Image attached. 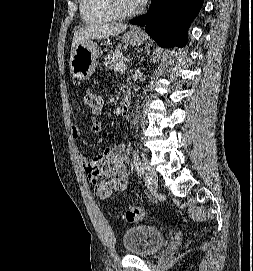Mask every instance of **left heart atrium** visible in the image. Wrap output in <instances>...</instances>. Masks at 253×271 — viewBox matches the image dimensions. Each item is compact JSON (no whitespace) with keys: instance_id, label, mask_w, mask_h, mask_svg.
Masks as SVG:
<instances>
[{"instance_id":"1","label":"left heart atrium","mask_w":253,"mask_h":271,"mask_svg":"<svg viewBox=\"0 0 253 271\" xmlns=\"http://www.w3.org/2000/svg\"><path fill=\"white\" fill-rule=\"evenodd\" d=\"M136 1L140 5V4H143L146 0H136Z\"/></svg>"}]
</instances>
